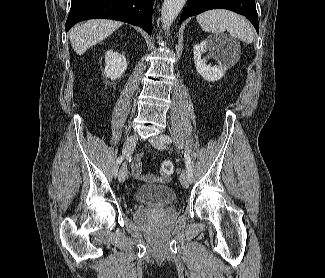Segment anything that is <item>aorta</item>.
Returning <instances> with one entry per match:
<instances>
[{
  "label": "aorta",
  "mask_w": 325,
  "mask_h": 278,
  "mask_svg": "<svg viewBox=\"0 0 325 278\" xmlns=\"http://www.w3.org/2000/svg\"><path fill=\"white\" fill-rule=\"evenodd\" d=\"M186 0H164L161 10L163 28L168 30L171 23L176 19L182 10Z\"/></svg>",
  "instance_id": "obj_1"
}]
</instances>
